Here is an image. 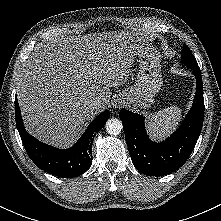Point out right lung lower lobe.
I'll list each match as a JSON object with an SVG mask.
<instances>
[{"label": "right lung lower lobe", "mask_w": 221, "mask_h": 221, "mask_svg": "<svg viewBox=\"0 0 221 221\" xmlns=\"http://www.w3.org/2000/svg\"><path fill=\"white\" fill-rule=\"evenodd\" d=\"M16 125L26 152L33 163L52 175L62 178L77 177L87 171L92 162V143L110 117L109 110L100 113L88 126L84 134L69 149L61 150L44 144L27 133L24 128L19 104L15 98Z\"/></svg>", "instance_id": "right-lung-lower-lobe-1"}]
</instances>
